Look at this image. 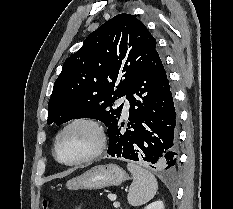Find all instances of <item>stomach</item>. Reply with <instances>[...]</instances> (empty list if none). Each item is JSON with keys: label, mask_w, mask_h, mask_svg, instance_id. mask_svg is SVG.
I'll use <instances>...</instances> for the list:
<instances>
[{"label": "stomach", "mask_w": 233, "mask_h": 209, "mask_svg": "<svg viewBox=\"0 0 233 209\" xmlns=\"http://www.w3.org/2000/svg\"><path fill=\"white\" fill-rule=\"evenodd\" d=\"M127 179L126 172L115 164L97 165L66 184L69 189H102L118 186Z\"/></svg>", "instance_id": "stomach-1"}]
</instances>
